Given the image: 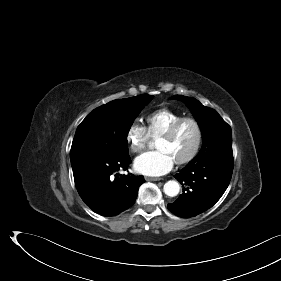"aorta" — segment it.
<instances>
[{"instance_id": "aorta-1", "label": "aorta", "mask_w": 281, "mask_h": 281, "mask_svg": "<svg viewBox=\"0 0 281 281\" xmlns=\"http://www.w3.org/2000/svg\"><path fill=\"white\" fill-rule=\"evenodd\" d=\"M180 191V185L177 181L170 180L164 185V193L167 196L174 197L177 196Z\"/></svg>"}]
</instances>
